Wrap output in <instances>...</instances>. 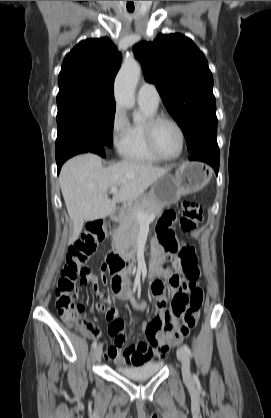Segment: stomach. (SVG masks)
Returning <instances> with one entry per match:
<instances>
[{"instance_id": "obj_1", "label": "stomach", "mask_w": 271, "mask_h": 418, "mask_svg": "<svg viewBox=\"0 0 271 418\" xmlns=\"http://www.w3.org/2000/svg\"><path fill=\"white\" fill-rule=\"evenodd\" d=\"M211 168L202 162H184L174 175L166 173L158 178L145 196L153 197L158 204L168 206L182 196L196 193L211 180Z\"/></svg>"}]
</instances>
